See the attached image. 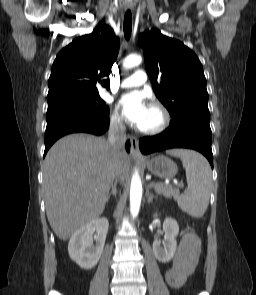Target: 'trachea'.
Returning a JSON list of instances; mask_svg holds the SVG:
<instances>
[{"instance_id": "1", "label": "trachea", "mask_w": 256, "mask_h": 295, "mask_svg": "<svg viewBox=\"0 0 256 295\" xmlns=\"http://www.w3.org/2000/svg\"><path fill=\"white\" fill-rule=\"evenodd\" d=\"M131 31H132V15H131V11L127 10L124 17V36L126 40L130 39Z\"/></svg>"}]
</instances>
